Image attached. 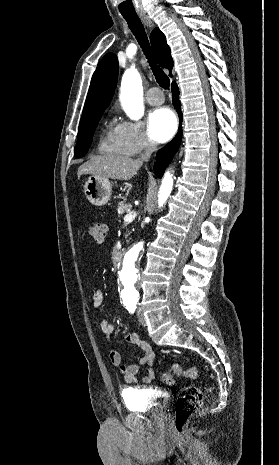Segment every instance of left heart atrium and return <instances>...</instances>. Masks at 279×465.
I'll return each instance as SVG.
<instances>
[{
    "label": "left heart atrium",
    "instance_id": "obj_1",
    "mask_svg": "<svg viewBox=\"0 0 279 465\" xmlns=\"http://www.w3.org/2000/svg\"><path fill=\"white\" fill-rule=\"evenodd\" d=\"M177 128V119L168 108H158L152 111L148 117L147 130L150 137L157 142L169 140Z\"/></svg>",
    "mask_w": 279,
    "mask_h": 465
}]
</instances>
